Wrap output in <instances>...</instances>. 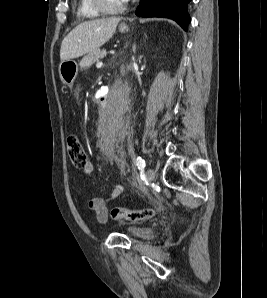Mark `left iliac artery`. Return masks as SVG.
I'll return each mask as SVG.
<instances>
[{
  "mask_svg": "<svg viewBox=\"0 0 267 298\" xmlns=\"http://www.w3.org/2000/svg\"><path fill=\"white\" fill-rule=\"evenodd\" d=\"M136 165H137V168L139 169V170H142V169H144L145 168V160L142 158V157H140V156H138L137 158H136Z\"/></svg>",
  "mask_w": 267,
  "mask_h": 298,
  "instance_id": "44dca946",
  "label": "left iliac artery"
}]
</instances>
